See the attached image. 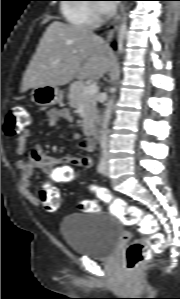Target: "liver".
I'll use <instances>...</instances> for the list:
<instances>
[{
  "instance_id": "obj_1",
  "label": "liver",
  "mask_w": 180,
  "mask_h": 299,
  "mask_svg": "<svg viewBox=\"0 0 180 299\" xmlns=\"http://www.w3.org/2000/svg\"><path fill=\"white\" fill-rule=\"evenodd\" d=\"M112 52L91 30L52 22L39 42L23 76L20 91L40 86H62L73 78L100 79L108 71Z\"/></svg>"
}]
</instances>
